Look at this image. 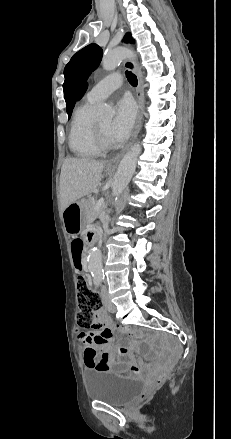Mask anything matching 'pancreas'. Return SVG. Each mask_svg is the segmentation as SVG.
Returning a JSON list of instances; mask_svg holds the SVG:
<instances>
[{
  "mask_svg": "<svg viewBox=\"0 0 231 439\" xmlns=\"http://www.w3.org/2000/svg\"><path fill=\"white\" fill-rule=\"evenodd\" d=\"M97 202L94 198L87 199L82 206V214L87 222H92L98 216L100 209L94 211Z\"/></svg>",
  "mask_w": 231,
  "mask_h": 439,
  "instance_id": "1",
  "label": "pancreas"
}]
</instances>
